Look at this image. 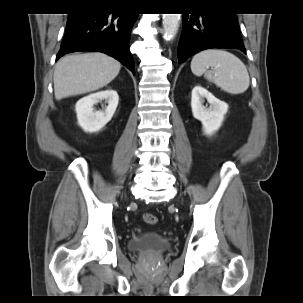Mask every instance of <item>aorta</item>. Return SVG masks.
Segmentation results:
<instances>
[{
	"instance_id": "obj_1",
	"label": "aorta",
	"mask_w": 303,
	"mask_h": 303,
	"mask_svg": "<svg viewBox=\"0 0 303 303\" xmlns=\"http://www.w3.org/2000/svg\"><path fill=\"white\" fill-rule=\"evenodd\" d=\"M180 14H163L164 39L171 40L179 28Z\"/></svg>"
}]
</instances>
